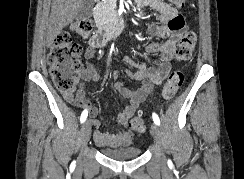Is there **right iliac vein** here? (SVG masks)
<instances>
[{"instance_id": "obj_1", "label": "right iliac vein", "mask_w": 244, "mask_h": 179, "mask_svg": "<svg viewBox=\"0 0 244 179\" xmlns=\"http://www.w3.org/2000/svg\"><path fill=\"white\" fill-rule=\"evenodd\" d=\"M91 136V122L89 120H86L81 128L80 132V140H81V146L84 148V146L87 144Z\"/></svg>"}]
</instances>
